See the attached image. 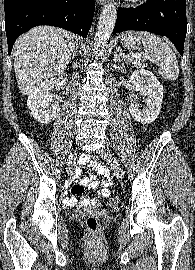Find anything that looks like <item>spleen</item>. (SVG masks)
I'll return each instance as SVG.
<instances>
[{
    "label": "spleen",
    "mask_w": 195,
    "mask_h": 270,
    "mask_svg": "<svg viewBox=\"0 0 195 270\" xmlns=\"http://www.w3.org/2000/svg\"><path fill=\"white\" fill-rule=\"evenodd\" d=\"M134 34L141 39L148 59L159 66L158 73L167 80H177L179 76L178 61L170 46L152 33L137 31Z\"/></svg>",
    "instance_id": "3e777b00"
}]
</instances>
